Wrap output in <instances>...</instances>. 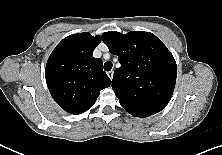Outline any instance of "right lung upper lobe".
Segmentation results:
<instances>
[{"label": "right lung upper lobe", "mask_w": 222, "mask_h": 155, "mask_svg": "<svg viewBox=\"0 0 222 155\" xmlns=\"http://www.w3.org/2000/svg\"><path fill=\"white\" fill-rule=\"evenodd\" d=\"M101 42L99 35L78 33L64 38L48 58L45 77L48 89L66 112L79 115L89 110L111 80L102 60L92 56Z\"/></svg>", "instance_id": "right-lung-upper-lobe-1"}]
</instances>
